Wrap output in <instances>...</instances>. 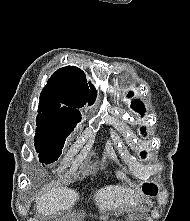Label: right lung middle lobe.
<instances>
[{"label":"right lung middle lobe","mask_w":190,"mask_h":221,"mask_svg":"<svg viewBox=\"0 0 190 221\" xmlns=\"http://www.w3.org/2000/svg\"><path fill=\"white\" fill-rule=\"evenodd\" d=\"M35 147L41 163L50 164L62 153L64 141L74 130L76 123H69L52 118H37Z\"/></svg>","instance_id":"dd1d6c3e"}]
</instances>
